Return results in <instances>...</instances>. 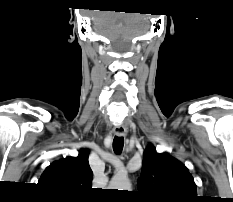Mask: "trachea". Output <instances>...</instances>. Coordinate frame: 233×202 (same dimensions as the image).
<instances>
[{
  "label": "trachea",
  "instance_id": "trachea-1",
  "mask_svg": "<svg viewBox=\"0 0 233 202\" xmlns=\"http://www.w3.org/2000/svg\"><path fill=\"white\" fill-rule=\"evenodd\" d=\"M124 146V139L123 137H117L115 136L113 140V150L116 154H120L123 150Z\"/></svg>",
  "mask_w": 233,
  "mask_h": 202
}]
</instances>
